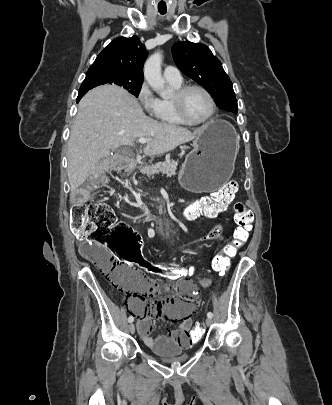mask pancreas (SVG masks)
<instances>
[{
  "instance_id": "obj_1",
  "label": "pancreas",
  "mask_w": 332,
  "mask_h": 405,
  "mask_svg": "<svg viewBox=\"0 0 332 405\" xmlns=\"http://www.w3.org/2000/svg\"><path fill=\"white\" fill-rule=\"evenodd\" d=\"M178 162L175 160H166L165 162H158L157 164L152 165L148 173L149 174H163L167 177H174L177 173Z\"/></svg>"
}]
</instances>
